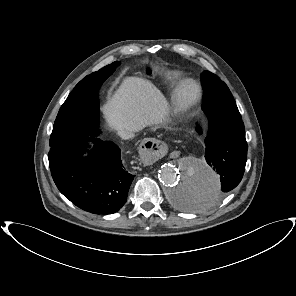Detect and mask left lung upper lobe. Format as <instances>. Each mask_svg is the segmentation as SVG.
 <instances>
[{
	"label": "left lung upper lobe",
	"mask_w": 296,
	"mask_h": 296,
	"mask_svg": "<svg viewBox=\"0 0 296 296\" xmlns=\"http://www.w3.org/2000/svg\"><path fill=\"white\" fill-rule=\"evenodd\" d=\"M202 85L204 88V101L210 98H233L227 85L223 81H221L218 76L209 71H205L202 73Z\"/></svg>",
	"instance_id": "obj_1"
}]
</instances>
